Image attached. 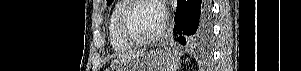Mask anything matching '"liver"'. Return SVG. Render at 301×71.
Segmentation results:
<instances>
[{"label":"liver","mask_w":301,"mask_h":71,"mask_svg":"<svg viewBox=\"0 0 301 71\" xmlns=\"http://www.w3.org/2000/svg\"><path fill=\"white\" fill-rule=\"evenodd\" d=\"M143 52L144 51H139V52H136V53L120 55L116 60H114V62H112V65L117 64L118 62H120L121 60H124L126 58L137 57L138 55H140Z\"/></svg>","instance_id":"liver-1"}]
</instances>
